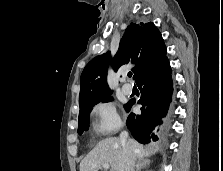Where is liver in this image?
<instances>
[{
  "instance_id": "liver-1",
  "label": "liver",
  "mask_w": 223,
  "mask_h": 171,
  "mask_svg": "<svg viewBox=\"0 0 223 171\" xmlns=\"http://www.w3.org/2000/svg\"><path fill=\"white\" fill-rule=\"evenodd\" d=\"M133 147L135 158L142 159L156 150L145 151L143 145L133 139H129ZM103 164H109L110 171H124L125 149L120 139L109 137L97 143L95 148L81 161L80 171H95L102 167Z\"/></svg>"
}]
</instances>
